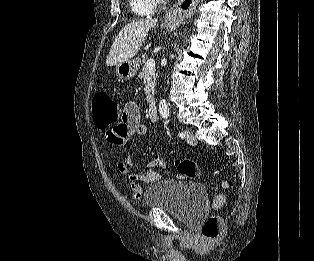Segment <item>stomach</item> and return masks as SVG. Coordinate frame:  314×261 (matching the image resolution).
Wrapping results in <instances>:
<instances>
[{
  "instance_id": "0dacf381",
  "label": "stomach",
  "mask_w": 314,
  "mask_h": 261,
  "mask_svg": "<svg viewBox=\"0 0 314 261\" xmlns=\"http://www.w3.org/2000/svg\"><path fill=\"white\" fill-rule=\"evenodd\" d=\"M139 67V59H129L116 66V75L119 79L129 80L135 76Z\"/></svg>"
}]
</instances>
